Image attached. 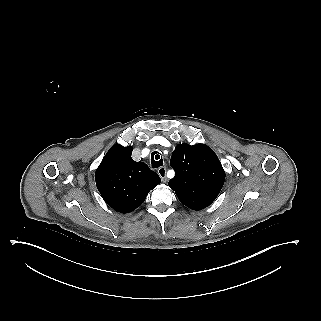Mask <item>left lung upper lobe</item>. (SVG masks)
<instances>
[{"instance_id": "obj_1", "label": "left lung upper lobe", "mask_w": 321, "mask_h": 321, "mask_svg": "<svg viewBox=\"0 0 321 321\" xmlns=\"http://www.w3.org/2000/svg\"><path fill=\"white\" fill-rule=\"evenodd\" d=\"M170 164L175 176L169 186L178 198L218 195L223 187L225 172L217 155L207 145H177Z\"/></svg>"}]
</instances>
